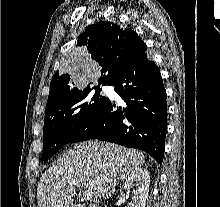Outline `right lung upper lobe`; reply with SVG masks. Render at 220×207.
Here are the masks:
<instances>
[{
	"label": "right lung upper lobe",
	"instance_id": "1",
	"mask_svg": "<svg viewBox=\"0 0 220 207\" xmlns=\"http://www.w3.org/2000/svg\"><path fill=\"white\" fill-rule=\"evenodd\" d=\"M77 45L86 46L91 58L102 67L98 82L103 85H108L131 61L145 53L147 49L136 32L109 21H100L88 26L79 36ZM103 73L106 74L102 77ZM76 90L78 88L73 77L68 73L57 71L50 83L46 108L60 97Z\"/></svg>",
	"mask_w": 220,
	"mask_h": 207
}]
</instances>
